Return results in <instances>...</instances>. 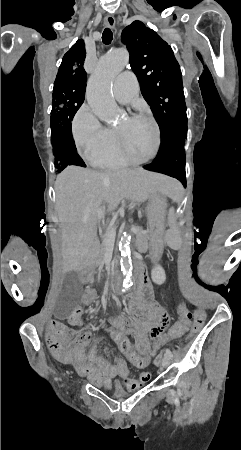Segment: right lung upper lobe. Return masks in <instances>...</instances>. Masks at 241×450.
I'll return each mask as SVG.
<instances>
[{
	"mask_svg": "<svg viewBox=\"0 0 241 450\" xmlns=\"http://www.w3.org/2000/svg\"><path fill=\"white\" fill-rule=\"evenodd\" d=\"M85 57V44L80 39L64 55L55 83H70L86 88L87 77L83 68Z\"/></svg>",
	"mask_w": 241,
	"mask_h": 450,
	"instance_id": "right-lung-upper-lobe-1",
	"label": "right lung upper lobe"
}]
</instances>
